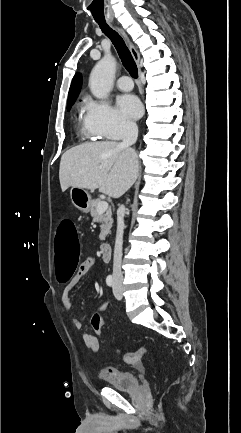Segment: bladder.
<instances>
[{
	"mask_svg": "<svg viewBox=\"0 0 241 433\" xmlns=\"http://www.w3.org/2000/svg\"><path fill=\"white\" fill-rule=\"evenodd\" d=\"M99 378L103 380L108 387L121 392H129L139 386L136 374L129 371H116L110 374L101 371Z\"/></svg>",
	"mask_w": 241,
	"mask_h": 433,
	"instance_id": "1",
	"label": "bladder"
}]
</instances>
